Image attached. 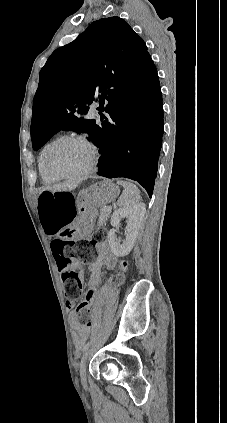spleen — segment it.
I'll return each mask as SVG.
<instances>
[{
    "label": "spleen",
    "mask_w": 227,
    "mask_h": 423,
    "mask_svg": "<svg viewBox=\"0 0 227 423\" xmlns=\"http://www.w3.org/2000/svg\"><path fill=\"white\" fill-rule=\"evenodd\" d=\"M117 184L124 188V192L118 200V206H120V208H133V206H137L141 200V196L135 184L124 182V180H117Z\"/></svg>",
    "instance_id": "3e777b00"
}]
</instances>
